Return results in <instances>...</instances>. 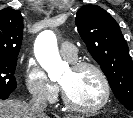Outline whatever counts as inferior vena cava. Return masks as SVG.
<instances>
[{
    "label": "inferior vena cava",
    "instance_id": "1",
    "mask_svg": "<svg viewBox=\"0 0 133 118\" xmlns=\"http://www.w3.org/2000/svg\"><path fill=\"white\" fill-rule=\"evenodd\" d=\"M47 107V101L44 96L33 98L29 104V110L32 118H44V111Z\"/></svg>",
    "mask_w": 133,
    "mask_h": 118
}]
</instances>
